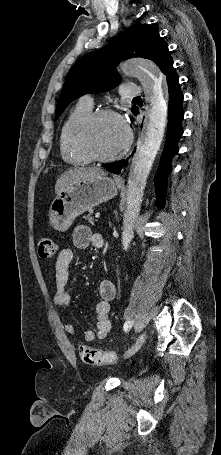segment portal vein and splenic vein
<instances>
[{
	"label": "portal vein and splenic vein",
	"instance_id": "1",
	"mask_svg": "<svg viewBox=\"0 0 221 455\" xmlns=\"http://www.w3.org/2000/svg\"><path fill=\"white\" fill-rule=\"evenodd\" d=\"M95 217H96V218H99V217H100V213H96V214H95Z\"/></svg>",
	"mask_w": 221,
	"mask_h": 455
}]
</instances>
